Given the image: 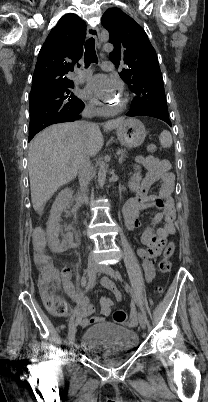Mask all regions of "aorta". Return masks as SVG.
<instances>
[{
  "instance_id": "1",
  "label": "aorta",
  "mask_w": 208,
  "mask_h": 402,
  "mask_svg": "<svg viewBox=\"0 0 208 402\" xmlns=\"http://www.w3.org/2000/svg\"><path fill=\"white\" fill-rule=\"evenodd\" d=\"M97 174H98V176H99L98 182H97V185H98L97 194H98L99 196H102V195L104 194V192H105V185H106V182H105V174H106V170H105L104 168H101V169L98 171Z\"/></svg>"
}]
</instances>
